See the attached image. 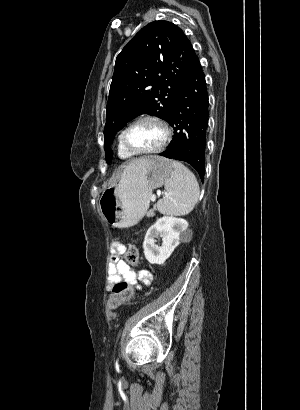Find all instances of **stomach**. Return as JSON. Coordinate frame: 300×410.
Here are the masks:
<instances>
[{
  "mask_svg": "<svg viewBox=\"0 0 300 410\" xmlns=\"http://www.w3.org/2000/svg\"><path fill=\"white\" fill-rule=\"evenodd\" d=\"M173 172L172 161L153 156L144 165L125 167L120 181L105 189L99 208L116 228L136 225L146 214L152 191L161 187Z\"/></svg>",
  "mask_w": 300,
  "mask_h": 410,
  "instance_id": "0dacf381",
  "label": "stomach"
}]
</instances>
